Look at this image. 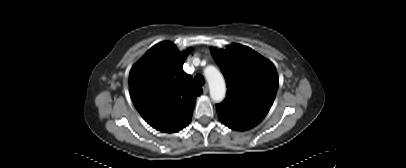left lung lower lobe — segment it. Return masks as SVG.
Returning a JSON list of instances; mask_svg holds the SVG:
<instances>
[{"instance_id": "left-lung-lower-lobe-1", "label": "left lung lower lobe", "mask_w": 406, "mask_h": 168, "mask_svg": "<svg viewBox=\"0 0 406 168\" xmlns=\"http://www.w3.org/2000/svg\"><path fill=\"white\" fill-rule=\"evenodd\" d=\"M218 117L221 121V123H223L224 125L228 126L229 128L233 129V130H238V131H243V130H248L254 126H256L258 123L247 120V119H243V118H239L236 116H232L229 114H225L222 112H218Z\"/></svg>"}]
</instances>
